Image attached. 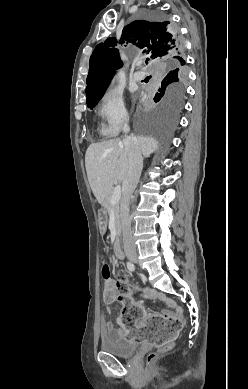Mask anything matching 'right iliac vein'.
<instances>
[{"mask_svg": "<svg viewBox=\"0 0 248 389\" xmlns=\"http://www.w3.org/2000/svg\"><path fill=\"white\" fill-rule=\"evenodd\" d=\"M130 259V261L134 262V263H137L138 262V257L136 254H132V255H129L128 257Z\"/></svg>", "mask_w": 248, "mask_h": 389, "instance_id": "obj_1", "label": "right iliac vein"}]
</instances>
